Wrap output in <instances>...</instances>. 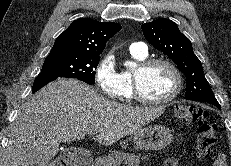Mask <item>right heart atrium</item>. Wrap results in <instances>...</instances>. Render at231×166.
<instances>
[{"mask_svg":"<svg viewBox=\"0 0 231 166\" xmlns=\"http://www.w3.org/2000/svg\"><path fill=\"white\" fill-rule=\"evenodd\" d=\"M94 78L99 90L109 99H119L124 96V86L121 73L116 67L113 52L105 53L98 61Z\"/></svg>","mask_w":231,"mask_h":166,"instance_id":"d8ad5b80","label":"right heart atrium"}]
</instances>
